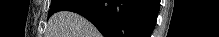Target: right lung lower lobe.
<instances>
[{
  "label": "right lung lower lobe",
  "instance_id": "98d812e1",
  "mask_svg": "<svg viewBox=\"0 0 219 37\" xmlns=\"http://www.w3.org/2000/svg\"><path fill=\"white\" fill-rule=\"evenodd\" d=\"M78 13L104 37H150L159 11L158 0H71L59 11Z\"/></svg>",
  "mask_w": 219,
  "mask_h": 37
}]
</instances>
